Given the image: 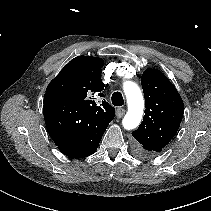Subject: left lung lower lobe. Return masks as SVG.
<instances>
[{"instance_id": "0a47b994", "label": "left lung lower lobe", "mask_w": 211, "mask_h": 211, "mask_svg": "<svg viewBox=\"0 0 211 211\" xmlns=\"http://www.w3.org/2000/svg\"><path fill=\"white\" fill-rule=\"evenodd\" d=\"M134 154L139 158H150L154 155L149 150H146V149H143V148H137V147L134 150Z\"/></svg>"}]
</instances>
